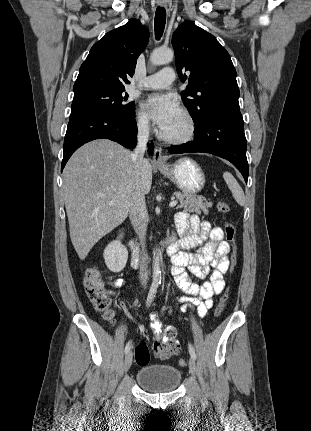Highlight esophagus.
Here are the masks:
<instances>
[{
	"label": "esophagus",
	"mask_w": 311,
	"mask_h": 431,
	"mask_svg": "<svg viewBox=\"0 0 311 431\" xmlns=\"http://www.w3.org/2000/svg\"><path fill=\"white\" fill-rule=\"evenodd\" d=\"M166 158L163 157L162 154V147L161 145L157 144L154 150V156H153V160L152 163L155 165H163L166 163Z\"/></svg>",
	"instance_id": "1"
}]
</instances>
